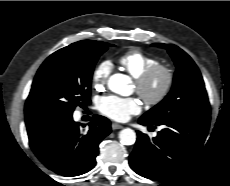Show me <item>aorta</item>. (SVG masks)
I'll return each mask as SVG.
<instances>
[{"label": "aorta", "instance_id": "762f6f07", "mask_svg": "<svg viewBox=\"0 0 230 186\" xmlns=\"http://www.w3.org/2000/svg\"><path fill=\"white\" fill-rule=\"evenodd\" d=\"M130 83V79L123 74H114L108 80V87L111 91L125 95ZM119 140L123 145H132L136 141V133L130 128L120 131Z\"/></svg>", "mask_w": 230, "mask_h": 186}]
</instances>
